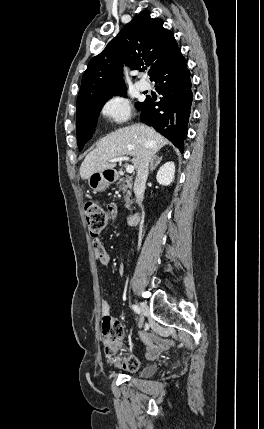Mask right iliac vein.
I'll return each mask as SVG.
<instances>
[{
	"label": "right iliac vein",
	"mask_w": 264,
	"mask_h": 429,
	"mask_svg": "<svg viewBox=\"0 0 264 429\" xmlns=\"http://www.w3.org/2000/svg\"><path fill=\"white\" fill-rule=\"evenodd\" d=\"M139 308H140V310H141V313H139L137 316L139 317V323H140V327H142L143 326V323H144V318H145V316L143 315V308L141 307V305L139 304Z\"/></svg>",
	"instance_id": "right-iliac-vein-1"
}]
</instances>
